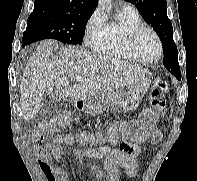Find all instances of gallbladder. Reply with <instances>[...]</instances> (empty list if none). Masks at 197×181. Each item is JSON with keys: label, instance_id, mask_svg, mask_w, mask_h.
Masks as SVG:
<instances>
[{"label": "gallbladder", "instance_id": "obj_1", "mask_svg": "<svg viewBox=\"0 0 197 181\" xmlns=\"http://www.w3.org/2000/svg\"><path fill=\"white\" fill-rule=\"evenodd\" d=\"M57 100V96L52 93H47L42 98V112H49L53 108L54 101Z\"/></svg>", "mask_w": 197, "mask_h": 181}]
</instances>
